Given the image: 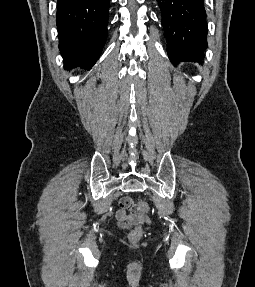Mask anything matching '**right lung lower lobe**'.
I'll list each match as a JSON object with an SVG mask.
<instances>
[{"mask_svg": "<svg viewBox=\"0 0 255 287\" xmlns=\"http://www.w3.org/2000/svg\"><path fill=\"white\" fill-rule=\"evenodd\" d=\"M56 23L64 68L90 69L107 38L109 0H57Z\"/></svg>", "mask_w": 255, "mask_h": 287, "instance_id": "98d812e1", "label": "right lung lower lobe"}]
</instances>
